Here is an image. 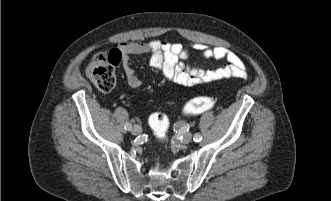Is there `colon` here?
I'll return each instance as SVG.
<instances>
[{"instance_id": "obj_1", "label": "colon", "mask_w": 331, "mask_h": 201, "mask_svg": "<svg viewBox=\"0 0 331 201\" xmlns=\"http://www.w3.org/2000/svg\"><path fill=\"white\" fill-rule=\"evenodd\" d=\"M87 76L90 81L102 92L113 90L116 78L114 61L110 56L98 54L87 68ZM216 105V99L210 96H200L191 99L183 108L185 114H197L212 110ZM149 124L158 138L165 137L168 130V119L162 113H154L149 118Z\"/></svg>"}]
</instances>
